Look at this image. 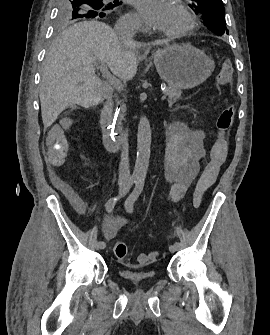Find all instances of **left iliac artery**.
<instances>
[{"instance_id":"obj_1","label":"left iliac artery","mask_w":270,"mask_h":335,"mask_svg":"<svg viewBox=\"0 0 270 335\" xmlns=\"http://www.w3.org/2000/svg\"><path fill=\"white\" fill-rule=\"evenodd\" d=\"M144 187V180L143 179H139L136 181V186L133 190V192L129 195V197L126 199L125 201V209L127 210V212L132 213L134 210V203L137 200V198L139 197V195L141 194L142 190ZM174 246L179 249L181 248V243L179 242H175Z\"/></svg>"}]
</instances>
